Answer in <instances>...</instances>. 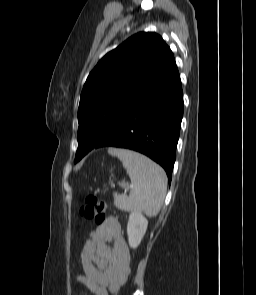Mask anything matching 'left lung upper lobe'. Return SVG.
Masks as SVG:
<instances>
[{
	"mask_svg": "<svg viewBox=\"0 0 256 295\" xmlns=\"http://www.w3.org/2000/svg\"><path fill=\"white\" fill-rule=\"evenodd\" d=\"M176 72L172 51L156 33H137L107 53L81 93L75 162Z\"/></svg>",
	"mask_w": 256,
	"mask_h": 295,
	"instance_id": "5c2ea615",
	"label": "left lung upper lobe"
}]
</instances>
